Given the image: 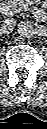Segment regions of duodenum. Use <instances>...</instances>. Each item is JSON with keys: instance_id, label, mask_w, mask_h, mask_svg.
Returning a JSON list of instances; mask_svg holds the SVG:
<instances>
[{"instance_id": "410a0bca", "label": "duodenum", "mask_w": 47, "mask_h": 129, "mask_svg": "<svg viewBox=\"0 0 47 129\" xmlns=\"http://www.w3.org/2000/svg\"><path fill=\"white\" fill-rule=\"evenodd\" d=\"M1 11L4 15L10 17V16H13L15 14V7L13 6V4L9 0H6L2 3ZM45 14L46 13L40 8H37L35 10V15L39 19H44Z\"/></svg>"}]
</instances>
